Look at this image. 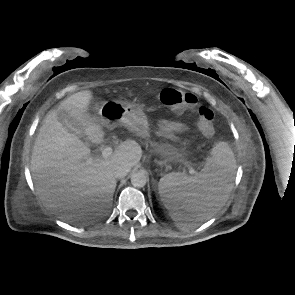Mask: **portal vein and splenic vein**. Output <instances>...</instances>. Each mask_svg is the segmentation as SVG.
<instances>
[{"label": "portal vein and splenic vein", "mask_w": 295, "mask_h": 295, "mask_svg": "<svg viewBox=\"0 0 295 295\" xmlns=\"http://www.w3.org/2000/svg\"><path fill=\"white\" fill-rule=\"evenodd\" d=\"M112 153H113V149L111 147L107 146L102 151V157L103 158H109L112 155ZM189 173L193 175V174L196 173V171L194 170L193 167L190 166L189 167Z\"/></svg>", "instance_id": "1"}]
</instances>
